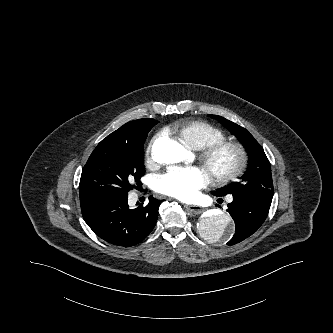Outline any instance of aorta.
Here are the masks:
<instances>
[{"label":"aorta","mask_w":333,"mask_h":333,"mask_svg":"<svg viewBox=\"0 0 333 333\" xmlns=\"http://www.w3.org/2000/svg\"><path fill=\"white\" fill-rule=\"evenodd\" d=\"M185 148L173 139H159L152 148V157L161 164H173L185 158ZM199 230L208 240L225 242L234 233V225L227 213L212 210L200 221Z\"/></svg>","instance_id":"obj_1"}]
</instances>
